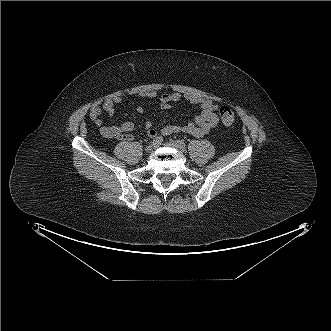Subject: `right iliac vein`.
Wrapping results in <instances>:
<instances>
[{"mask_svg": "<svg viewBox=\"0 0 331 331\" xmlns=\"http://www.w3.org/2000/svg\"><path fill=\"white\" fill-rule=\"evenodd\" d=\"M152 150H153V145H148V146L145 147V151H146L147 153L152 152Z\"/></svg>", "mask_w": 331, "mask_h": 331, "instance_id": "obj_1", "label": "right iliac vein"}]
</instances>
